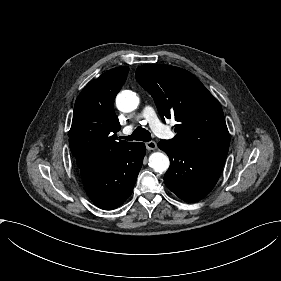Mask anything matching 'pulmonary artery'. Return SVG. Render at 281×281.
<instances>
[{"instance_id": "pulmonary-artery-1", "label": "pulmonary artery", "mask_w": 281, "mask_h": 281, "mask_svg": "<svg viewBox=\"0 0 281 281\" xmlns=\"http://www.w3.org/2000/svg\"><path fill=\"white\" fill-rule=\"evenodd\" d=\"M136 118L137 120L141 118L146 119L151 128H153L156 125H161V122L158 119L155 110L151 106H145L142 112ZM131 128H132L131 126L124 128L122 133L127 134L129 131H131Z\"/></svg>"}]
</instances>
